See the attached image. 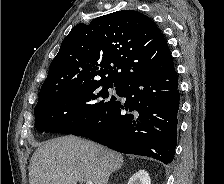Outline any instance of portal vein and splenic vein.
Masks as SVG:
<instances>
[{"instance_id":"18ae733b","label":"portal vein and splenic vein","mask_w":224,"mask_h":184,"mask_svg":"<svg viewBox=\"0 0 224 184\" xmlns=\"http://www.w3.org/2000/svg\"><path fill=\"white\" fill-rule=\"evenodd\" d=\"M86 184H93V182L92 181H87Z\"/></svg>"}]
</instances>
